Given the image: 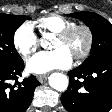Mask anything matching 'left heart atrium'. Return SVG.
<instances>
[{"label":"left heart atrium","mask_w":112,"mask_h":112,"mask_svg":"<svg viewBox=\"0 0 112 112\" xmlns=\"http://www.w3.org/2000/svg\"><path fill=\"white\" fill-rule=\"evenodd\" d=\"M72 63V56L63 48L43 51L27 60V69L36 74L47 73L54 69L68 68Z\"/></svg>","instance_id":"left-heart-atrium-1"}]
</instances>
